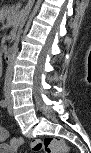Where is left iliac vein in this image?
<instances>
[{
  "label": "left iliac vein",
  "instance_id": "obj_1",
  "mask_svg": "<svg viewBox=\"0 0 91 153\" xmlns=\"http://www.w3.org/2000/svg\"><path fill=\"white\" fill-rule=\"evenodd\" d=\"M7 110L9 114H12V99L11 97H8V106H7Z\"/></svg>",
  "mask_w": 91,
  "mask_h": 153
}]
</instances>
